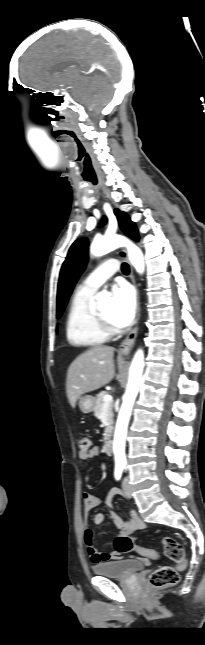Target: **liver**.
Listing matches in <instances>:
<instances>
[{"label": "liver", "mask_w": 205, "mask_h": 645, "mask_svg": "<svg viewBox=\"0 0 205 645\" xmlns=\"http://www.w3.org/2000/svg\"><path fill=\"white\" fill-rule=\"evenodd\" d=\"M114 348L95 346L80 354L69 366L66 392L71 407L79 397L108 384L114 377Z\"/></svg>", "instance_id": "liver-1"}]
</instances>
